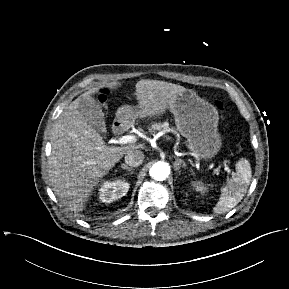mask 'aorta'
Wrapping results in <instances>:
<instances>
[{"mask_svg": "<svg viewBox=\"0 0 289 289\" xmlns=\"http://www.w3.org/2000/svg\"><path fill=\"white\" fill-rule=\"evenodd\" d=\"M149 174L153 179L157 181H163L169 176L170 167L168 163L164 161H158L152 165L149 170Z\"/></svg>", "mask_w": 289, "mask_h": 289, "instance_id": "1", "label": "aorta"}]
</instances>
